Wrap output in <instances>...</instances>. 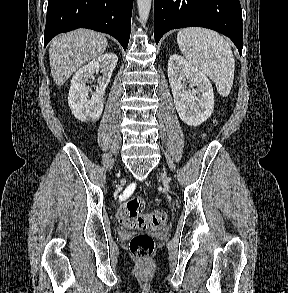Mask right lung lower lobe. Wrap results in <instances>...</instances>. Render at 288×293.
<instances>
[{"label":"right lung lower lobe","mask_w":288,"mask_h":293,"mask_svg":"<svg viewBox=\"0 0 288 293\" xmlns=\"http://www.w3.org/2000/svg\"><path fill=\"white\" fill-rule=\"evenodd\" d=\"M133 0H48L46 46L57 34L88 28L115 37L126 50Z\"/></svg>","instance_id":"obj_1"}]
</instances>
